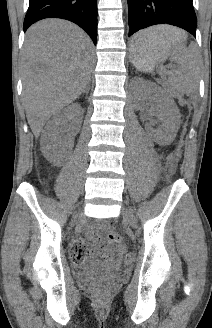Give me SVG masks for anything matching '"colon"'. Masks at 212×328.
I'll return each mask as SVG.
<instances>
[{
  "label": "colon",
  "instance_id": "1",
  "mask_svg": "<svg viewBox=\"0 0 212 328\" xmlns=\"http://www.w3.org/2000/svg\"><path fill=\"white\" fill-rule=\"evenodd\" d=\"M170 165L172 167H174L175 158L171 159ZM107 237H108L109 241L112 243L113 247H115L117 249V251H119L121 253H124L126 251V245L122 241L121 235L119 233L114 232V231H107ZM72 260L74 262H80V259L76 254L72 255ZM131 260H132V256L131 255H126L125 261L127 263H130ZM105 296H106V291L104 289H99V290L96 291V297L97 298L102 299Z\"/></svg>",
  "mask_w": 212,
  "mask_h": 328
}]
</instances>
